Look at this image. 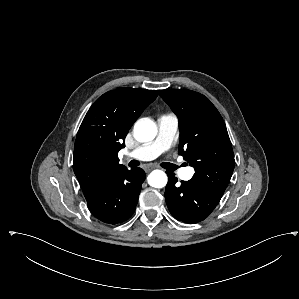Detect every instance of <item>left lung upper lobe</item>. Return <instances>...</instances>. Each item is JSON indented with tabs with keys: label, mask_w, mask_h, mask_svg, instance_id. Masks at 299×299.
<instances>
[{
	"label": "left lung upper lobe",
	"mask_w": 299,
	"mask_h": 299,
	"mask_svg": "<svg viewBox=\"0 0 299 299\" xmlns=\"http://www.w3.org/2000/svg\"><path fill=\"white\" fill-rule=\"evenodd\" d=\"M160 96L178 117L179 153L194 167L192 179L223 194L235 160L220 113L207 97L192 90H163Z\"/></svg>",
	"instance_id": "left-lung-upper-lobe-1"
}]
</instances>
